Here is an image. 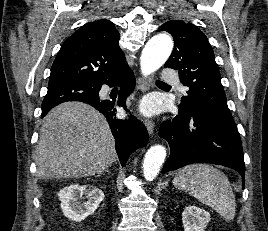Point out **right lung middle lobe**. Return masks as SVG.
I'll return each instance as SVG.
<instances>
[{
	"instance_id": "right-lung-middle-lobe-1",
	"label": "right lung middle lobe",
	"mask_w": 268,
	"mask_h": 231,
	"mask_svg": "<svg viewBox=\"0 0 268 231\" xmlns=\"http://www.w3.org/2000/svg\"><path fill=\"white\" fill-rule=\"evenodd\" d=\"M95 95L96 88L94 86L77 82H61L48 84V92L43 102L61 101L62 103L87 99Z\"/></svg>"
}]
</instances>
